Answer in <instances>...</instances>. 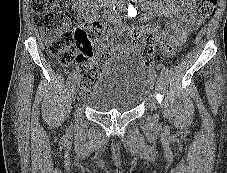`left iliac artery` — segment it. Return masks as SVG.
Masks as SVG:
<instances>
[{
  "label": "left iliac artery",
  "instance_id": "left-iliac-artery-1",
  "mask_svg": "<svg viewBox=\"0 0 227 173\" xmlns=\"http://www.w3.org/2000/svg\"><path fill=\"white\" fill-rule=\"evenodd\" d=\"M149 75L153 78L157 77V72L155 71V69H150L149 70Z\"/></svg>",
  "mask_w": 227,
  "mask_h": 173
}]
</instances>
